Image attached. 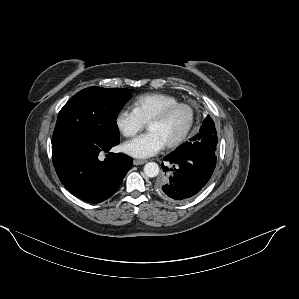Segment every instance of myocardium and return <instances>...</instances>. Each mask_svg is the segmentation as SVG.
<instances>
[{
    "label": "myocardium",
    "mask_w": 299,
    "mask_h": 299,
    "mask_svg": "<svg viewBox=\"0 0 299 299\" xmlns=\"http://www.w3.org/2000/svg\"><path fill=\"white\" fill-rule=\"evenodd\" d=\"M185 108L189 111L190 113V119L187 124V126L184 128V130L179 134L177 138L172 140L171 142L165 144L166 148H175L182 144L187 137L189 136L191 130L193 129V126L195 124L196 120V110L193 107L192 104L187 103V102H178L173 105H169L165 108H163L160 112H158L155 116H153L147 123V126H149L152 123H160L166 120L173 112H175L178 109Z\"/></svg>",
    "instance_id": "myocardium-1"
}]
</instances>
